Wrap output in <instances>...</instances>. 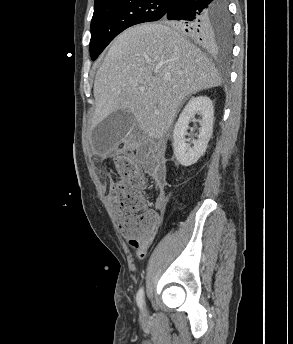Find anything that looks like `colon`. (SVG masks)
Listing matches in <instances>:
<instances>
[{
    "instance_id": "colon-1",
    "label": "colon",
    "mask_w": 293,
    "mask_h": 344,
    "mask_svg": "<svg viewBox=\"0 0 293 344\" xmlns=\"http://www.w3.org/2000/svg\"><path fill=\"white\" fill-rule=\"evenodd\" d=\"M121 181L112 188V207L123 235L131 239L153 237L160 213L147 206L144 199L145 177L128 154L114 153L109 157Z\"/></svg>"
}]
</instances>
